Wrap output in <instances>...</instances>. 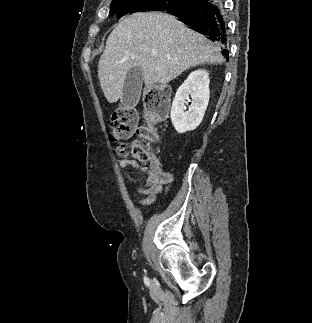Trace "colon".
Wrapping results in <instances>:
<instances>
[{"label": "colon", "instance_id": "obj_1", "mask_svg": "<svg viewBox=\"0 0 312 323\" xmlns=\"http://www.w3.org/2000/svg\"><path fill=\"white\" fill-rule=\"evenodd\" d=\"M168 90L157 84L149 94L150 109L147 115V124L138 125V113L132 106L123 105L111 114L109 139L111 142L126 141L137 135L138 140L134 141L128 153L123 151L121 156L134 158L141 163H147L152 168L158 167V162L153 161L151 144L158 140L159 133L155 125L162 121L166 114V99Z\"/></svg>", "mask_w": 312, "mask_h": 323}]
</instances>
